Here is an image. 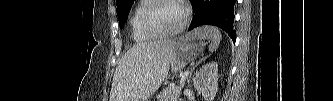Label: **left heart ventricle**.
Wrapping results in <instances>:
<instances>
[{"label":"left heart ventricle","instance_id":"left-heart-ventricle-1","mask_svg":"<svg viewBox=\"0 0 333 101\" xmlns=\"http://www.w3.org/2000/svg\"><path fill=\"white\" fill-rule=\"evenodd\" d=\"M182 16V10L178 5L165 2L153 10L151 19L158 30L168 32L180 24Z\"/></svg>","mask_w":333,"mask_h":101}]
</instances>
